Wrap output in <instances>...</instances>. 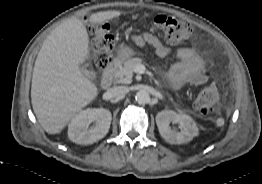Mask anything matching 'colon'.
I'll return each mask as SVG.
<instances>
[{
    "instance_id": "1",
    "label": "colon",
    "mask_w": 262,
    "mask_h": 184,
    "mask_svg": "<svg viewBox=\"0 0 262 184\" xmlns=\"http://www.w3.org/2000/svg\"><path fill=\"white\" fill-rule=\"evenodd\" d=\"M153 24L164 39L171 44L184 42L193 33V27L188 22L163 14L156 15L153 18ZM89 30L92 37L95 65L99 71H103L111 64L114 38L108 25L93 24ZM217 97L215 86L207 83L195 98V108L201 114H211L214 111Z\"/></svg>"
}]
</instances>
